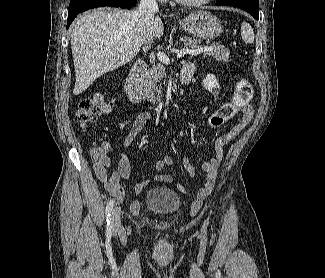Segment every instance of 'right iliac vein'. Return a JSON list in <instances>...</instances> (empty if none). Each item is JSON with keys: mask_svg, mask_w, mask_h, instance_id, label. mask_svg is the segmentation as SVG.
<instances>
[{"mask_svg": "<svg viewBox=\"0 0 325 278\" xmlns=\"http://www.w3.org/2000/svg\"><path fill=\"white\" fill-rule=\"evenodd\" d=\"M111 219H112V224H113L114 231L115 232L121 231L122 225H121V218H120V210L118 208H115L112 211Z\"/></svg>", "mask_w": 325, "mask_h": 278, "instance_id": "1", "label": "right iliac vein"}]
</instances>
